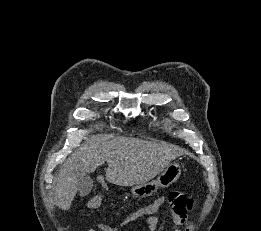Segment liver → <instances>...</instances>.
Here are the masks:
<instances>
[{"label":"liver","instance_id":"obj_1","mask_svg":"<svg viewBox=\"0 0 261 231\" xmlns=\"http://www.w3.org/2000/svg\"><path fill=\"white\" fill-rule=\"evenodd\" d=\"M180 155L178 148L167 144L128 137L104 142L92 136L62 165L55 185L56 205L68 210L79 190L78 173H92L105 161L108 182L131 186L149 182Z\"/></svg>","mask_w":261,"mask_h":231}]
</instances>
